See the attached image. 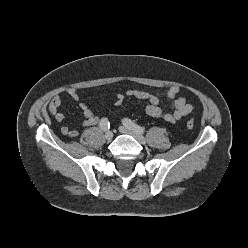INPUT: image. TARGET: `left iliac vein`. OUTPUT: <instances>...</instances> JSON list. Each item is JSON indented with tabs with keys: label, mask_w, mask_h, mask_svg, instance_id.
<instances>
[{
	"label": "left iliac vein",
	"mask_w": 248,
	"mask_h": 248,
	"mask_svg": "<svg viewBox=\"0 0 248 248\" xmlns=\"http://www.w3.org/2000/svg\"><path fill=\"white\" fill-rule=\"evenodd\" d=\"M119 130H120L121 133H124V134H128V135L133 136L141 144H145L146 143V139H145V137L143 135H141L138 132H135L134 130L130 129L127 126H121L119 128Z\"/></svg>",
	"instance_id": "left-iliac-vein-1"
}]
</instances>
